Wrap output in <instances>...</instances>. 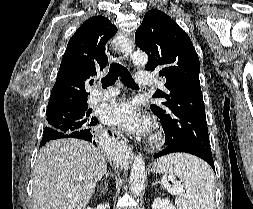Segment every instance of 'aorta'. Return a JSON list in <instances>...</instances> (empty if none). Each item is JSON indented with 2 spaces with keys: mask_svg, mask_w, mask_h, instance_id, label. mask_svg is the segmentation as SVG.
<instances>
[{
  "mask_svg": "<svg viewBox=\"0 0 253 209\" xmlns=\"http://www.w3.org/2000/svg\"><path fill=\"white\" fill-rule=\"evenodd\" d=\"M135 65L144 66L148 61V56L143 52H135L132 56ZM145 182V162L139 154L134 158L131 174H130V187L134 196L141 194Z\"/></svg>",
  "mask_w": 253,
  "mask_h": 209,
  "instance_id": "aorta-1",
  "label": "aorta"
}]
</instances>
